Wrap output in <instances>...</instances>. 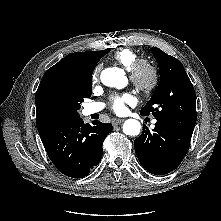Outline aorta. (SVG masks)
<instances>
[{
    "label": "aorta",
    "instance_id": "1",
    "mask_svg": "<svg viewBox=\"0 0 221 221\" xmlns=\"http://www.w3.org/2000/svg\"><path fill=\"white\" fill-rule=\"evenodd\" d=\"M101 82L109 87H116L118 89L123 88L127 79L124 76V72L118 68H106L101 72ZM141 124L135 119H128L123 124V132L126 135H138L140 133Z\"/></svg>",
    "mask_w": 221,
    "mask_h": 221
}]
</instances>
